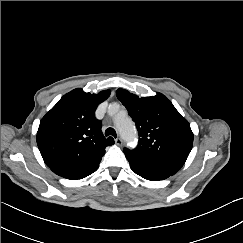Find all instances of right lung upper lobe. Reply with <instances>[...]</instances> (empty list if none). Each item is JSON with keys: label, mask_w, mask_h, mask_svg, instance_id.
Returning <instances> with one entry per match:
<instances>
[{"label": "right lung upper lobe", "mask_w": 243, "mask_h": 243, "mask_svg": "<svg viewBox=\"0 0 243 243\" xmlns=\"http://www.w3.org/2000/svg\"><path fill=\"white\" fill-rule=\"evenodd\" d=\"M110 95L109 90L85 93L75 89L64 95L42 118L37 145L46 165L57 175L71 178L99 165L105 148L114 144L105 138L94 113Z\"/></svg>", "instance_id": "1"}]
</instances>
